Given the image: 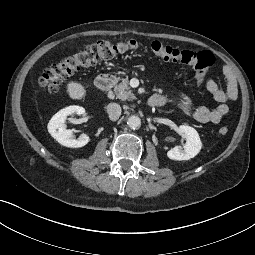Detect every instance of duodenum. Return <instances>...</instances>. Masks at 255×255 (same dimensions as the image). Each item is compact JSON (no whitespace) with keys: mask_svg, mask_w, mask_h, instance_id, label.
<instances>
[{"mask_svg":"<svg viewBox=\"0 0 255 255\" xmlns=\"http://www.w3.org/2000/svg\"><path fill=\"white\" fill-rule=\"evenodd\" d=\"M114 80H115L114 75L110 73H100L97 75L95 79V84L98 90L106 93L111 89ZM147 106L151 109L157 108L159 106V101L156 98L151 97L147 101Z\"/></svg>","mask_w":255,"mask_h":255,"instance_id":"obj_1","label":"duodenum"}]
</instances>
